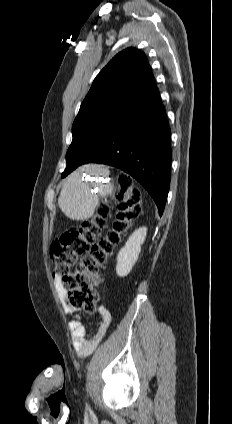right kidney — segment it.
I'll return each mask as SVG.
<instances>
[{
	"mask_svg": "<svg viewBox=\"0 0 232 424\" xmlns=\"http://www.w3.org/2000/svg\"><path fill=\"white\" fill-rule=\"evenodd\" d=\"M147 233L146 227L137 229L127 240L125 246L120 250L117 256L116 272L120 277L127 276L136 263L141 245L145 241Z\"/></svg>",
	"mask_w": 232,
	"mask_h": 424,
	"instance_id": "ca27d5eb",
	"label": "right kidney"
}]
</instances>
